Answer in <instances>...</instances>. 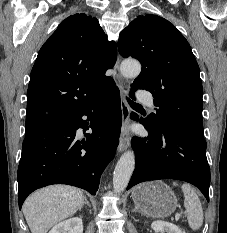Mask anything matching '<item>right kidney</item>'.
Returning <instances> with one entry per match:
<instances>
[{"instance_id": "ca27d5eb", "label": "right kidney", "mask_w": 227, "mask_h": 233, "mask_svg": "<svg viewBox=\"0 0 227 233\" xmlns=\"http://www.w3.org/2000/svg\"><path fill=\"white\" fill-rule=\"evenodd\" d=\"M49 233H83V222L79 217L70 218L55 225Z\"/></svg>"}]
</instances>
